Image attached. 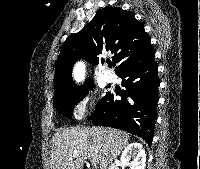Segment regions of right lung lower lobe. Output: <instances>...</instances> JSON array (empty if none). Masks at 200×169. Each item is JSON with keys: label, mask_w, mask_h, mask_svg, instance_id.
I'll return each mask as SVG.
<instances>
[{"label": "right lung lower lobe", "mask_w": 200, "mask_h": 169, "mask_svg": "<svg viewBox=\"0 0 200 169\" xmlns=\"http://www.w3.org/2000/svg\"><path fill=\"white\" fill-rule=\"evenodd\" d=\"M126 87L122 99L108 92L89 117L94 124L118 128L152 143L157 115L158 86L155 55L133 63L117 74Z\"/></svg>", "instance_id": "obj_1"}]
</instances>
